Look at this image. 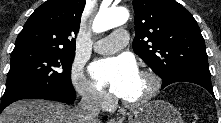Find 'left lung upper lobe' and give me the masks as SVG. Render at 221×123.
I'll use <instances>...</instances> for the list:
<instances>
[{"label":"left lung upper lobe","mask_w":221,"mask_h":123,"mask_svg":"<svg viewBox=\"0 0 221 123\" xmlns=\"http://www.w3.org/2000/svg\"><path fill=\"white\" fill-rule=\"evenodd\" d=\"M133 8L134 52L155 73L162 79L184 72L211 75L201 31L182 5L174 0H133Z\"/></svg>","instance_id":"1"}]
</instances>
